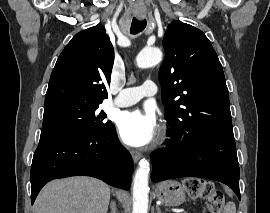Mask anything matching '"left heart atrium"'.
<instances>
[{
  "instance_id": "obj_1",
  "label": "left heart atrium",
  "mask_w": 270,
  "mask_h": 213,
  "mask_svg": "<svg viewBox=\"0 0 270 213\" xmlns=\"http://www.w3.org/2000/svg\"><path fill=\"white\" fill-rule=\"evenodd\" d=\"M117 126L121 139L136 147L149 144L157 131L156 116L151 110L123 112L118 118Z\"/></svg>"
}]
</instances>
